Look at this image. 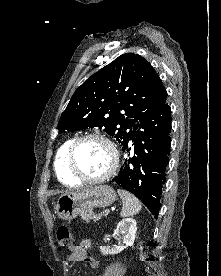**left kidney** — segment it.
<instances>
[{"label": "left kidney", "instance_id": "obj_1", "mask_svg": "<svg viewBox=\"0 0 221 276\" xmlns=\"http://www.w3.org/2000/svg\"><path fill=\"white\" fill-rule=\"evenodd\" d=\"M137 231V223L132 218H126L121 220L116 229L114 230V234L119 236V239L123 241L125 246H117L109 250L106 247H101V252L103 255H114L123 251L128 246H133Z\"/></svg>", "mask_w": 221, "mask_h": 276}]
</instances>
